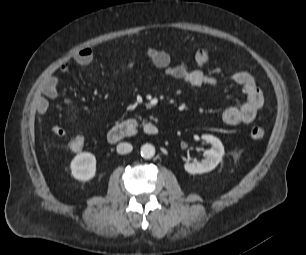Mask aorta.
<instances>
[{"label": "aorta", "mask_w": 306, "mask_h": 255, "mask_svg": "<svg viewBox=\"0 0 306 255\" xmlns=\"http://www.w3.org/2000/svg\"><path fill=\"white\" fill-rule=\"evenodd\" d=\"M141 156L145 159H150L155 155V147L152 144H144L141 149Z\"/></svg>", "instance_id": "1"}]
</instances>
